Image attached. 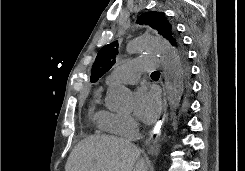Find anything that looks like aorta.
Instances as JSON below:
<instances>
[{"label": "aorta", "mask_w": 245, "mask_h": 171, "mask_svg": "<svg viewBox=\"0 0 245 171\" xmlns=\"http://www.w3.org/2000/svg\"><path fill=\"white\" fill-rule=\"evenodd\" d=\"M130 54L155 53L159 56L165 77L168 100L176 106L183 91L180 67H176L178 57L173 47L161 38L140 36L127 45ZM133 104L132 92L123 85H113L107 91L106 106L114 111H129Z\"/></svg>", "instance_id": "aorta-1"}]
</instances>
